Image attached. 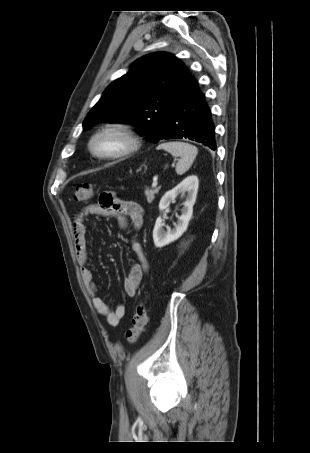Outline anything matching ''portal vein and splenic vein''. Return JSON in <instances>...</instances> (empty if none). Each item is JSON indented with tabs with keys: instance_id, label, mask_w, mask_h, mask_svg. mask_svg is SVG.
Listing matches in <instances>:
<instances>
[{
	"instance_id": "18ae733b",
	"label": "portal vein and splenic vein",
	"mask_w": 310,
	"mask_h": 453,
	"mask_svg": "<svg viewBox=\"0 0 310 453\" xmlns=\"http://www.w3.org/2000/svg\"><path fill=\"white\" fill-rule=\"evenodd\" d=\"M157 185H158V180H157V177H155V178L153 179L152 188H156Z\"/></svg>"
}]
</instances>
